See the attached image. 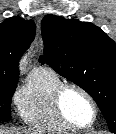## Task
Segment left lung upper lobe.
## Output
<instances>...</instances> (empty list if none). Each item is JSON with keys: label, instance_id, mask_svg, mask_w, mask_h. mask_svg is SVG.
<instances>
[{"label": "left lung upper lobe", "instance_id": "1", "mask_svg": "<svg viewBox=\"0 0 116 134\" xmlns=\"http://www.w3.org/2000/svg\"><path fill=\"white\" fill-rule=\"evenodd\" d=\"M42 36L39 62L84 89L116 133V43L91 23L51 14L42 20Z\"/></svg>", "mask_w": 116, "mask_h": 134}]
</instances>
